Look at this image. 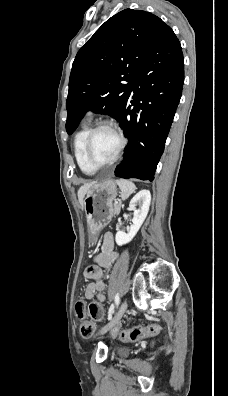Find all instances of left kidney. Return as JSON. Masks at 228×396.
I'll return each mask as SVG.
<instances>
[{
	"label": "left kidney",
	"instance_id": "obj_1",
	"mask_svg": "<svg viewBox=\"0 0 228 396\" xmlns=\"http://www.w3.org/2000/svg\"><path fill=\"white\" fill-rule=\"evenodd\" d=\"M150 202L151 194L149 190H141L132 198L129 207L133 210V223L127 233L122 231L116 233L115 241L117 245L127 244L135 237L148 214Z\"/></svg>",
	"mask_w": 228,
	"mask_h": 396
}]
</instances>
